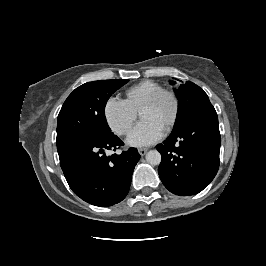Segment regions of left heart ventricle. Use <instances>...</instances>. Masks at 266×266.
<instances>
[{
    "label": "left heart ventricle",
    "mask_w": 266,
    "mask_h": 266,
    "mask_svg": "<svg viewBox=\"0 0 266 266\" xmlns=\"http://www.w3.org/2000/svg\"><path fill=\"white\" fill-rule=\"evenodd\" d=\"M172 112L173 102L169 97H165L158 104L143 108L140 112V117L142 120L154 119L164 127Z\"/></svg>",
    "instance_id": "1"
}]
</instances>
